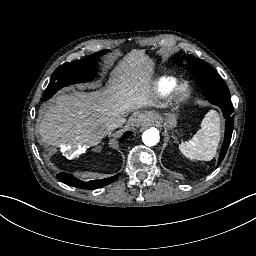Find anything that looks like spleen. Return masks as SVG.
I'll return each mask as SVG.
<instances>
[{
    "label": "spleen",
    "instance_id": "spleen-1",
    "mask_svg": "<svg viewBox=\"0 0 256 256\" xmlns=\"http://www.w3.org/2000/svg\"><path fill=\"white\" fill-rule=\"evenodd\" d=\"M220 137L219 114L210 110L201 122V129L191 140L179 144V150L191 160L211 161L217 153Z\"/></svg>",
    "mask_w": 256,
    "mask_h": 256
}]
</instances>
